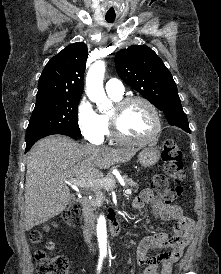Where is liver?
I'll return each instance as SVG.
<instances>
[{
    "mask_svg": "<svg viewBox=\"0 0 221 274\" xmlns=\"http://www.w3.org/2000/svg\"><path fill=\"white\" fill-rule=\"evenodd\" d=\"M136 148L81 145L65 136H49L34 144L28 153L25 182L24 225L34 226L59 215L71 196L66 181L103 177L102 169L128 162Z\"/></svg>",
    "mask_w": 221,
    "mask_h": 274,
    "instance_id": "6515ba94",
    "label": "liver"
}]
</instances>
